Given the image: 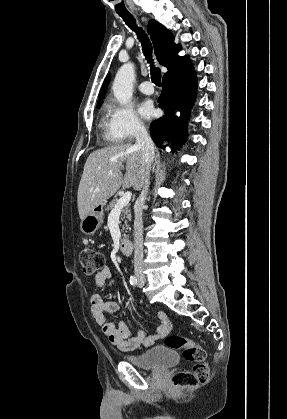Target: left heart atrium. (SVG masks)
Segmentation results:
<instances>
[{
	"mask_svg": "<svg viewBox=\"0 0 287 419\" xmlns=\"http://www.w3.org/2000/svg\"><path fill=\"white\" fill-rule=\"evenodd\" d=\"M138 111L143 118H150L154 113V108L150 101H143L139 105Z\"/></svg>",
	"mask_w": 287,
	"mask_h": 419,
	"instance_id": "39dd6f15",
	"label": "left heart atrium"
}]
</instances>
